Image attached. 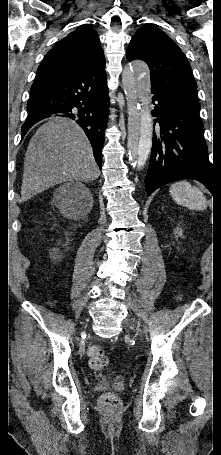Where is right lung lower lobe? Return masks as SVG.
Returning a JSON list of instances; mask_svg holds the SVG:
<instances>
[{
    "label": "right lung lower lobe",
    "mask_w": 221,
    "mask_h": 455,
    "mask_svg": "<svg viewBox=\"0 0 221 455\" xmlns=\"http://www.w3.org/2000/svg\"><path fill=\"white\" fill-rule=\"evenodd\" d=\"M105 62L66 75L31 94L22 138L37 122L50 116L75 120L85 131L101 168L104 132L109 113Z\"/></svg>",
    "instance_id": "right-lung-lower-lobe-1"
}]
</instances>
